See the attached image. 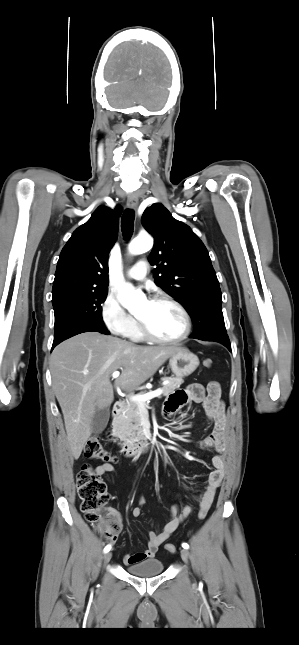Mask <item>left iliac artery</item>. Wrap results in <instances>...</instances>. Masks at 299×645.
<instances>
[{
	"label": "left iliac artery",
	"mask_w": 299,
	"mask_h": 645,
	"mask_svg": "<svg viewBox=\"0 0 299 645\" xmlns=\"http://www.w3.org/2000/svg\"><path fill=\"white\" fill-rule=\"evenodd\" d=\"M182 547H183L184 549H188V548H189V545H188L187 543H182Z\"/></svg>",
	"instance_id": "obj_1"
}]
</instances>
